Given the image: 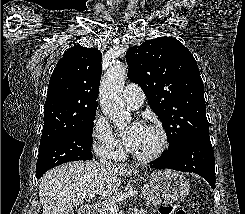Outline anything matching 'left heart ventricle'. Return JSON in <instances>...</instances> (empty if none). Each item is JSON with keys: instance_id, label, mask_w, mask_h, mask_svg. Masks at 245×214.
I'll return each mask as SVG.
<instances>
[{"instance_id": "1", "label": "left heart ventricle", "mask_w": 245, "mask_h": 214, "mask_svg": "<svg viewBox=\"0 0 245 214\" xmlns=\"http://www.w3.org/2000/svg\"><path fill=\"white\" fill-rule=\"evenodd\" d=\"M160 145V136L157 132L143 127L142 131L129 149L137 154H149Z\"/></svg>"}]
</instances>
